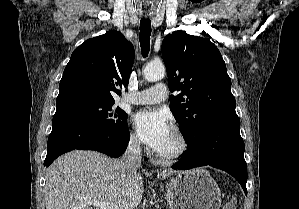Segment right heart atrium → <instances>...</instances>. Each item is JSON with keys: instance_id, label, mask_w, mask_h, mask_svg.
<instances>
[{"instance_id": "1", "label": "right heart atrium", "mask_w": 299, "mask_h": 209, "mask_svg": "<svg viewBox=\"0 0 299 209\" xmlns=\"http://www.w3.org/2000/svg\"><path fill=\"white\" fill-rule=\"evenodd\" d=\"M128 144L132 149L138 150L140 148V142L135 134H130Z\"/></svg>"}]
</instances>
